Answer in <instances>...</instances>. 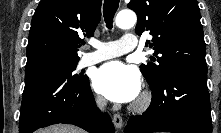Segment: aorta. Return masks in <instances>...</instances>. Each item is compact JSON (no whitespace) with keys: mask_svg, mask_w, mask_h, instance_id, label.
<instances>
[{"mask_svg":"<svg viewBox=\"0 0 221 133\" xmlns=\"http://www.w3.org/2000/svg\"><path fill=\"white\" fill-rule=\"evenodd\" d=\"M137 22V16L133 11H120L115 19L116 26L121 29L133 27Z\"/></svg>","mask_w":221,"mask_h":133,"instance_id":"762f6f07","label":"aorta"}]
</instances>
